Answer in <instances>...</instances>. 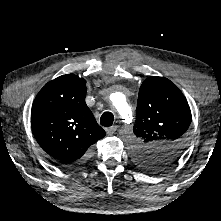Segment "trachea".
Listing matches in <instances>:
<instances>
[{"mask_svg":"<svg viewBox=\"0 0 221 221\" xmlns=\"http://www.w3.org/2000/svg\"><path fill=\"white\" fill-rule=\"evenodd\" d=\"M114 116L111 112H104L100 118V124L109 127L113 124Z\"/></svg>","mask_w":221,"mask_h":221,"instance_id":"trachea-1","label":"trachea"}]
</instances>
